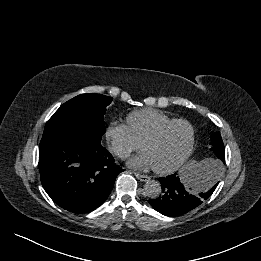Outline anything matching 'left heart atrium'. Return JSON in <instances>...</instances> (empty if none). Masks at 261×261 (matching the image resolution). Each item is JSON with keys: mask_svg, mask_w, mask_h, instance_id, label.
Here are the masks:
<instances>
[{"mask_svg": "<svg viewBox=\"0 0 261 261\" xmlns=\"http://www.w3.org/2000/svg\"><path fill=\"white\" fill-rule=\"evenodd\" d=\"M129 165L133 168L144 169L148 167H153L152 160L150 156L143 151L142 153L136 155L129 161Z\"/></svg>", "mask_w": 261, "mask_h": 261, "instance_id": "39dd6f15", "label": "left heart atrium"}]
</instances>
